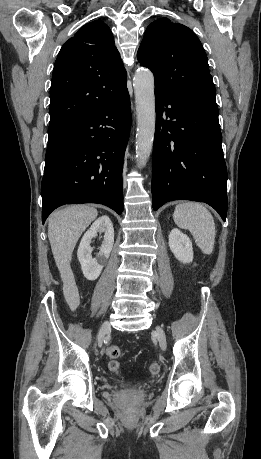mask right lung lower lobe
<instances>
[{"mask_svg": "<svg viewBox=\"0 0 261 459\" xmlns=\"http://www.w3.org/2000/svg\"><path fill=\"white\" fill-rule=\"evenodd\" d=\"M125 89L48 143L41 184L42 222L64 204L98 203L123 211V157L130 132Z\"/></svg>", "mask_w": 261, "mask_h": 459, "instance_id": "1", "label": "right lung lower lobe"}]
</instances>
